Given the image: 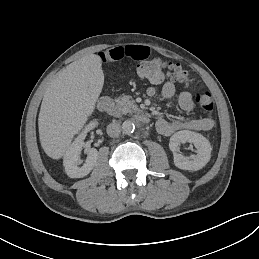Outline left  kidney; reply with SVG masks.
Returning <instances> with one entry per match:
<instances>
[{"label": "left kidney", "instance_id": "5707ae66", "mask_svg": "<svg viewBox=\"0 0 259 259\" xmlns=\"http://www.w3.org/2000/svg\"><path fill=\"white\" fill-rule=\"evenodd\" d=\"M186 142L194 144L197 155L188 158L177 153L180 150L179 145ZM169 148L173 152L175 166L183 170H200L211 158L212 147L210 142L203 135L189 130H182L173 134L170 138Z\"/></svg>", "mask_w": 259, "mask_h": 259}]
</instances>
